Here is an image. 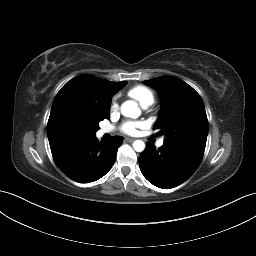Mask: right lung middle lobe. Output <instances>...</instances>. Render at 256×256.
<instances>
[{
    "label": "right lung middle lobe",
    "mask_w": 256,
    "mask_h": 256,
    "mask_svg": "<svg viewBox=\"0 0 256 256\" xmlns=\"http://www.w3.org/2000/svg\"><path fill=\"white\" fill-rule=\"evenodd\" d=\"M126 81L124 85H126ZM103 120L99 119L93 123H88L79 119H69L64 128V136H86L93 135L99 129L98 123Z\"/></svg>",
    "instance_id": "1"
}]
</instances>
